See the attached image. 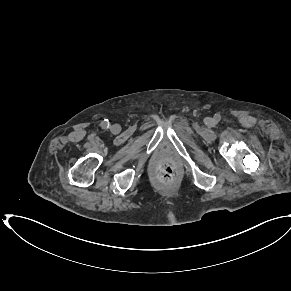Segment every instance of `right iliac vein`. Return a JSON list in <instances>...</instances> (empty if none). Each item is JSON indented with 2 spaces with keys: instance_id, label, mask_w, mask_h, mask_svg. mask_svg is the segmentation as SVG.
Returning <instances> with one entry per match:
<instances>
[{
  "instance_id": "1",
  "label": "right iliac vein",
  "mask_w": 291,
  "mask_h": 291,
  "mask_svg": "<svg viewBox=\"0 0 291 291\" xmlns=\"http://www.w3.org/2000/svg\"><path fill=\"white\" fill-rule=\"evenodd\" d=\"M112 128H113L114 130H116V129L118 128V126H117V125H114Z\"/></svg>"
}]
</instances>
